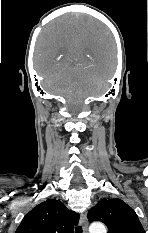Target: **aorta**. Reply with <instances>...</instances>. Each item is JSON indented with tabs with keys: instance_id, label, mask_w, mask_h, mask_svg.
Masks as SVG:
<instances>
[{
	"instance_id": "aorta-1",
	"label": "aorta",
	"mask_w": 148,
	"mask_h": 233,
	"mask_svg": "<svg viewBox=\"0 0 148 233\" xmlns=\"http://www.w3.org/2000/svg\"><path fill=\"white\" fill-rule=\"evenodd\" d=\"M89 233H107V230L103 223L94 222L89 227Z\"/></svg>"
}]
</instances>
